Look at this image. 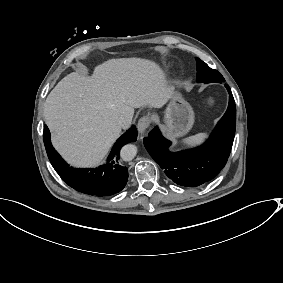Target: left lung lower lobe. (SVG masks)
Here are the masks:
<instances>
[{
    "label": "left lung lower lobe",
    "mask_w": 283,
    "mask_h": 283,
    "mask_svg": "<svg viewBox=\"0 0 283 283\" xmlns=\"http://www.w3.org/2000/svg\"><path fill=\"white\" fill-rule=\"evenodd\" d=\"M225 87L229 93L227 111L203 145L171 152V142L161 135L158 127L143 140L166 176L180 186L196 187L212 180L228 160L235 135L236 107L230 87L227 84Z\"/></svg>",
    "instance_id": "0a47b994"
}]
</instances>
